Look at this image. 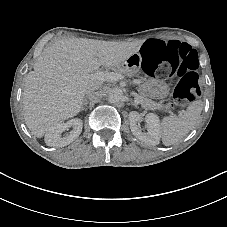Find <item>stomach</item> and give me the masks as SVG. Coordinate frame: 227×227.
<instances>
[{"label": "stomach", "mask_w": 227, "mask_h": 227, "mask_svg": "<svg viewBox=\"0 0 227 227\" xmlns=\"http://www.w3.org/2000/svg\"><path fill=\"white\" fill-rule=\"evenodd\" d=\"M141 91L143 92V94L148 93L147 88L144 85L141 87Z\"/></svg>", "instance_id": "0dacf381"}]
</instances>
